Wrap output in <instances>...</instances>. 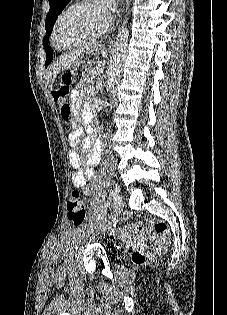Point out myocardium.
Here are the masks:
<instances>
[{
    "mask_svg": "<svg viewBox=\"0 0 227 315\" xmlns=\"http://www.w3.org/2000/svg\"><path fill=\"white\" fill-rule=\"evenodd\" d=\"M92 2H96V0H76L74 1L72 4H70L69 6H67L58 16V18L55 21L53 30H52V35H51V43L54 46L55 49L59 50V51H69V50H73L76 48H80L84 45H87L91 42L97 41L98 39H100L104 33L107 31L108 27H109V23H106L104 25V27L94 36L90 37L89 39L76 44V45H72V46H67V47H60L57 45L56 43V34H57V30H58V26L61 22V20L63 19V17L73 8L78 7L80 5H84V4H88V3H92Z\"/></svg>",
    "mask_w": 227,
    "mask_h": 315,
    "instance_id": "f54148a6",
    "label": "myocardium"
}]
</instances>
